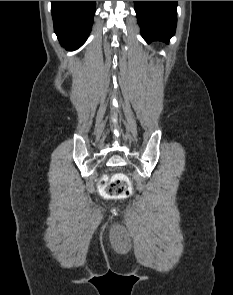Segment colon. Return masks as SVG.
<instances>
[{
	"label": "colon",
	"instance_id": "obj_1",
	"mask_svg": "<svg viewBox=\"0 0 233 295\" xmlns=\"http://www.w3.org/2000/svg\"><path fill=\"white\" fill-rule=\"evenodd\" d=\"M99 187L104 196L115 199L127 198L132 193L130 180L123 174L115 175L110 180L101 178Z\"/></svg>",
	"mask_w": 233,
	"mask_h": 295
}]
</instances>
